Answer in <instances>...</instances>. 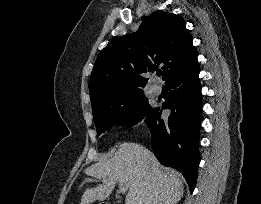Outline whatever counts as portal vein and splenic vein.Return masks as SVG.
<instances>
[{"label":"portal vein and splenic vein","mask_w":261,"mask_h":204,"mask_svg":"<svg viewBox=\"0 0 261 204\" xmlns=\"http://www.w3.org/2000/svg\"><path fill=\"white\" fill-rule=\"evenodd\" d=\"M127 190H128L127 185L120 182V183H119V191H120L121 193H125Z\"/></svg>","instance_id":"18ae733b"}]
</instances>
